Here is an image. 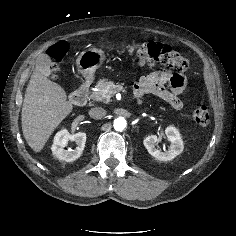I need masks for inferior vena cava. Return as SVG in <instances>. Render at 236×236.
<instances>
[{
    "mask_svg": "<svg viewBox=\"0 0 236 236\" xmlns=\"http://www.w3.org/2000/svg\"><path fill=\"white\" fill-rule=\"evenodd\" d=\"M106 115V110L101 107L91 108L89 111V116L93 119H101Z\"/></svg>",
    "mask_w": 236,
    "mask_h": 236,
    "instance_id": "obj_1",
    "label": "inferior vena cava"
}]
</instances>
